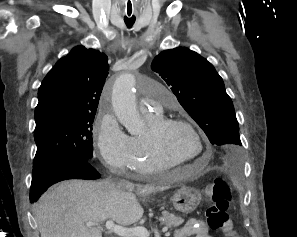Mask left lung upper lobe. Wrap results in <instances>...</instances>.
<instances>
[{
	"instance_id": "5c2ea615",
	"label": "left lung upper lobe",
	"mask_w": 297,
	"mask_h": 237,
	"mask_svg": "<svg viewBox=\"0 0 297 237\" xmlns=\"http://www.w3.org/2000/svg\"><path fill=\"white\" fill-rule=\"evenodd\" d=\"M179 103L199 124L225 161L241 155L239 124L222 78L210 62L188 48L165 50L151 64Z\"/></svg>"
}]
</instances>
